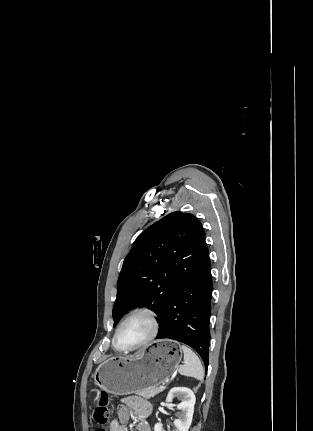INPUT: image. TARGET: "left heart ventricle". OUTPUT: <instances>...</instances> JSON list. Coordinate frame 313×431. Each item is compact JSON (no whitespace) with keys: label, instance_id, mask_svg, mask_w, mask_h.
<instances>
[{"label":"left heart ventricle","instance_id":"b2bd125f","mask_svg":"<svg viewBox=\"0 0 313 431\" xmlns=\"http://www.w3.org/2000/svg\"><path fill=\"white\" fill-rule=\"evenodd\" d=\"M151 329L152 326L147 317H134L121 328L117 338L118 345L121 348L133 347L144 341Z\"/></svg>","mask_w":313,"mask_h":431}]
</instances>
